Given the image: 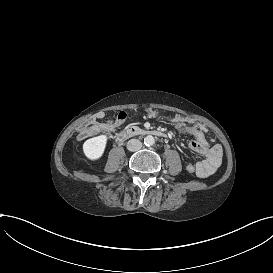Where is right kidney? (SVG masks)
Instances as JSON below:
<instances>
[{"mask_svg": "<svg viewBox=\"0 0 273 273\" xmlns=\"http://www.w3.org/2000/svg\"><path fill=\"white\" fill-rule=\"evenodd\" d=\"M106 142V135H100L86 140L83 144L84 154L90 160L99 159L104 153Z\"/></svg>", "mask_w": 273, "mask_h": 273, "instance_id": "1", "label": "right kidney"}]
</instances>
